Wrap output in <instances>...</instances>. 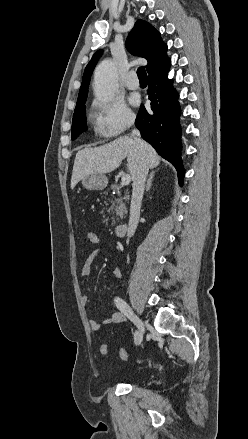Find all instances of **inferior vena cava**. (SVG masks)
<instances>
[{"label":"inferior vena cava","mask_w":248,"mask_h":439,"mask_svg":"<svg viewBox=\"0 0 248 439\" xmlns=\"http://www.w3.org/2000/svg\"><path fill=\"white\" fill-rule=\"evenodd\" d=\"M133 123L134 120L132 119L131 124ZM131 135L140 149L141 157L136 172L132 178L133 190H132V198H131V206H130L128 232H127L128 237H132L137 228V224L140 216L141 202L144 194L145 181L149 170V164L144 152L143 143L142 140L140 139V132L137 129H133Z\"/></svg>","instance_id":"602c4592"}]
</instances>
